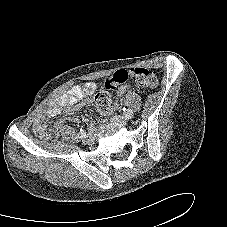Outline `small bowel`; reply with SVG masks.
Masks as SVG:
<instances>
[{
    "label": "small bowel",
    "instance_id": "small-bowel-1",
    "mask_svg": "<svg viewBox=\"0 0 227 227\" xmlns=\"http://www.w3.org/2000/svg\"><path fill=\"white\" fill-rule=\"evenodd\" d=\"M130 89L129 85L121 86L119 88V95L125 94ZM96 90V85L92 82H87L83 85L72 87L69 91L57 96L54 100L50 101L48 105L38 112L34 119L33 128L35 133L40 137H48L51 132L47 130L46 121L49 117L58 116L64 113L71 121L75 119L70 116L71 112L80 109L85 103L89 102L88 97L91 96ZM87 98V99H85ZM117 105L112 104L110 110L116 109ZM63 126V121L58 120L54 124V130L59 131Z\"/></svg>",
    "mask_w": 227,
    "mask_h": 227
}]
</instances>
